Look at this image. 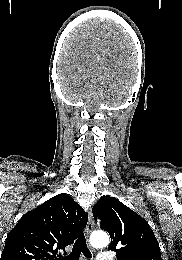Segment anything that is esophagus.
<instances>
[{
	"label": "esophagus",
	"mask_w": 182,
	"mask_h": 260,
	"mask_svg": "<svg viewBox=\"0 0 182 260\" xmlns=\"http://www.w3.org/2000/svg\"><path fill=\"white\" fill-rule=\"evenodd\" d=\"M93 228H94V221H93L92 212L90 210L89 211V215H88V222H87V226H86V235H87V237H89V235L92 232Z\"/></svg>",
	"instance_id": "obj_1"
}]
</instances>
